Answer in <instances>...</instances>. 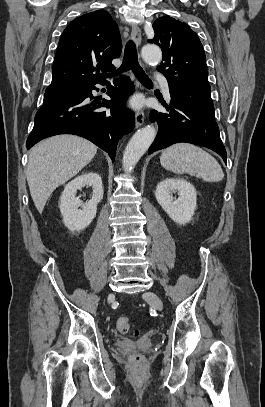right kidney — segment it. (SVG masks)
<instances>
[{"mask_svg":"<svg viewBox=\"0 0 265 407\" xmlns=\"http://www.w3.org/2000/svg\"><path fill=\"white\" fill-rule=\"evenodd\" d=\"M85 185L92 187V199L83 204L75 194ZM103 198V185L99 174L84 173L70 181L60 197L59 208L63 223L70 231H81L90 225L96 216L97 204ZM82 207V209H79Z\"/></svg>","mask_w":265,"mask_h":407,"instance_id":"1","label":"right kidney"}]
</instances>
